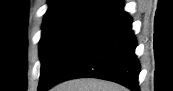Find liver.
Listing matches in <instances>:
<instances>
[{
    "label": "liver",
    "instance_id": "liver-1",
    "mask_svg": "<svg viewBox=\"0 0 173 91\" xmlns=\"http://www.w3.org/2000/svg\"><path fill=\"white\" fill-rule=\"evenodd\" d=\"M51 91H127L123 86L99 79L82 78L60 83Z\"/></svg>",
    "mask_w": 173,
    "mask_h": 91
}]
</instances>
